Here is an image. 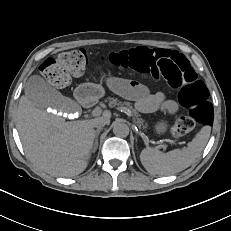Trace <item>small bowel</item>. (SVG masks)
Listing matches in <instances>:
<instances>
[{"label":"small bowel","instance_id":"obj_1","mask_svg":"<svg viewBox=\"0 0 231 231\" xmlns=\"http://www.w3.org/2000/svg\"><path fill=\"white\" fill-rule=\"evenodd\" d=\"M107 87L127 98L137 100V105L145 111H154L160 106H163L169 112H175L177 105L172 101H164L162 94L149 95L146 89L139 83L125 80L122 78L109 76L105 79Z\"/></svg>","mask_w":231,"mask_h":231}]
</instances>
